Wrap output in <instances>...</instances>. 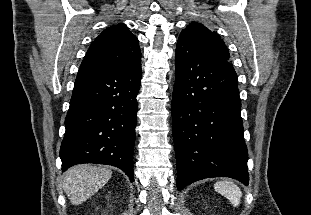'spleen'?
I'll list each match as a JSON object with an SVG mask.
<instances>
[{
	"label": "spleen",
	"instance_id": "1",
	"mask_svg": "<svg viewBox=\"0 0 311 215\" xmlns=\"http://www.w3.org/2000/svg\"><path fill=\"white\" fill-rule=\"evenodd\" d=\"M214 189L219 194L226 197L234 207H237L240 204L242 192L233 182L228 180L216 182L214 184Z\"/></svg>",
	"mask_w": 311,
	"mask_h": 215
}]
</instances>
